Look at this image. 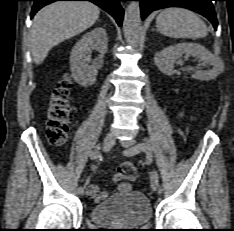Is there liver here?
Instances as JSON below:
<instances>
[{
    "instance_id": "obj_1",
    "label": "liver",
    "mask_w": 234,
    "mask_h": 231,
    "mask_svg": "<svg viewBox=\"0 0 234 231\" xmlns=\"http://www.w3.org/2000/svg\"><path fill=\"white\" fill-rule=\"evenodd\" d=\"M99 14V8L91 2L62 1L42 8L35 15L30 31L31 52L36 65L44 61L54 46L91 27Z\"/></svg>"
}]
</instances>
